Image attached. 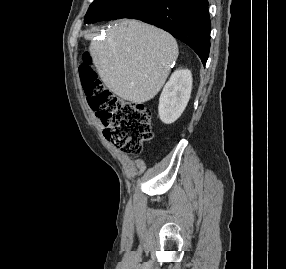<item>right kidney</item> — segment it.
Listing matches in <instances>:
<instances>
[{"mask_svg":"<svg viewBox=\"0 0 286 269\" xmlns=\"http://www.w3.org/2000/svg\"><path fill=\"white\" fill-rule=\"evenodd\" d=\"M192 90L190 70L175 71L165 84L159 99V117L164 124H172L184 111Z\"/></svg>","mask_w":286,"mask_h":269,"instance_id":"ca27d5eb","label":"right kidney"}]
</instances>
